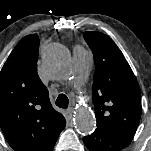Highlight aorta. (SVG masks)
<instances>
[{"label":"aorta","instance_id":"1","mask_svg":"<svg viewBox=\"0 0 151 151\" xmlns=\"http://www.w3.org/2000/svg\"><path fill=\"white\" fill-rule=\"evenodd\" d=\"M45 62L53 71L62 73L68 62L67 50L59 44L51 45L46 50ZM75 124L82 134H89L94 131L96 121L92 111L85 106H79L76 110Z\"/></svg>","mask_w":151,"mask_h":151}]
</instances>
